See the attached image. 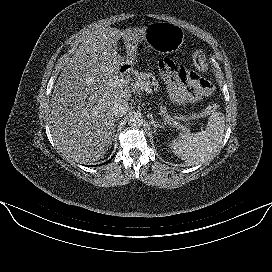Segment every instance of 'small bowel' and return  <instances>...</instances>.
<instances>
[{
  "instance_id": "1",
  "label": "small bowel",
  "mask_w": 272,
  "mask_h": 272,
  "mask_svg": "<svg viewBox=\"0 0 272 272\" xmlns=\"http://www.w3.org/2000/svg\"><path fill=\"white\" fill-rule=\"evenodd\" d=\"M160 71L167 84L170 99L177 105L196 103L213 91V86L208 81L169 59L160 63Z\"/></svg>"
}]
</instances>
